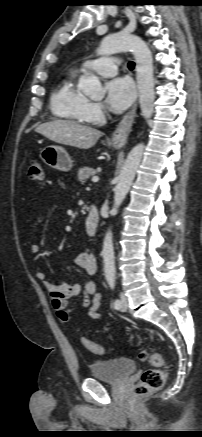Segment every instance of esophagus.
I'll use <instances>...</instances> for the list:
<instances>
[{
	"mask_svg": "<svg viewBox=\"0 0 202 437\" xmlns=\"http://www.w3.org/2000/svg\"><path fill=\"white\" fill-rule=\"evenodd\" d=\"M137 106L138 103L135 102L132 108L125 114V116L117 125L111 137L112 144L122 146L127 142L128 135L132 129L136 117Z\"/></svg>",
	"mask_w": 202,
	"mask_h": 437,
	"instance_id": "1",
	"label": "esophagus"
}]
</instances>
